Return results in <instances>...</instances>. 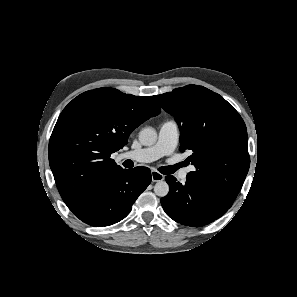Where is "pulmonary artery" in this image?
<instances>
[{
	"label": "pulmonary artery",
	"instance_id": "e3ab8cb5",
	"mask_svg": "<svg viewBox=\"0 0 297 297\" xmlns=\"http://www.w3.org/2000/svg\"><path fill=\"white\" fill-rule=\"evenodd\" d=\"M179 127L175 120H167L162 123L159 129L158 139L155 144L149 147L126 153L124 157L131 158L138 162H152L163 156L171 154L179 141ZM190 169H183L180 174V180L185 182L187 180Z\"/></svg>",
	"mask_w": 297,
	"mask_h": 297
}]
</instances>
